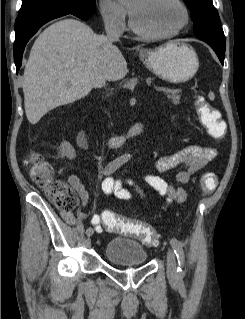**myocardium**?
<instances>
[{
  "mask_svg": "<svg viewBox=\"0 0 245 319\" xmlns=\"http://www.w3.org/2000/svg\"><path fill=\"white\" fill-rule=\"evenodd\" d=\"M173 1L180 7V9L183 12V16H184L182 24L177 29H175L174 31H171V32H166V33L147 32V31H145L137 26V24L135 23V21L133 19L131 11H129V25H130V28L132 29V31L135 34H137L138 36L145 38V39H149V40H164V39H170V38H173V37L179 35L189 25L190 13H189L187 6L184 4V2L182 0H173Z\"/></svg>",
  "mask_w": 245,
  "mask_h": 319,
  "instance_id": "f54148a6",
  "label": "myocardium"
}]
</instances>
